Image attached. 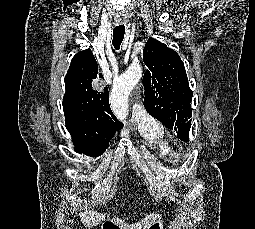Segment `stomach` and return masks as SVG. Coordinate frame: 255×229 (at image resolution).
Masks as SVG:
<instances>
[{"mask_svg": "<svg viewBox=\"0 0 255 229\" xmlns=\"http://www.w3.org/2000/svg\"><path fill=\"white\" fill-rule=\"evenodd\" d=\"M115 226V229H122L119 225L115 224L114 222H112ZM148 229H164V225L162 220H157L156 222H154Z\"/></svg>", "mask_w": 255, "mask_h": 229, "instance_id": "1", "label": "stomach"}]
</instances>
